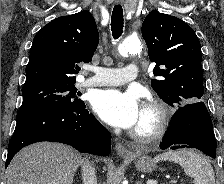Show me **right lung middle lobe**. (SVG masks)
Segmentation results:
<instances>
[{
	"instance_id": "right-lung-middle-lobe-1",
	"label": "right lung middle lobe",
	"mask_w": 224,
	"mask_h": 184,
	"mask_svg": "<svg viewBox=\"0 0 224 184\" xmlns=\"http://www.w3.org/2000/svg\"><path fill=\"white\" fill-rule=\"evenodd\" d=\"M75 83L37 81L25 84L22 88L23 102L17 119L30 111L47 108H75L84 102L78 99Z\"/></svg>"
}]
</instances>
